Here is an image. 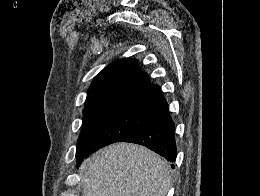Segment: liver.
Returning a JSON list of instances; mask_svg holds the SVG:
<instances>
[{
  "label": "liver",
  "instance_id": "1",
  "mask_svg": "<svg viewBox=\"0 0 260 196\" xmlns=\"http://www.w3.org/2000/svg\"><path fill=\"white\" fill-rule=\"evenodd\" d=\"M170 166L138 144H111L81 166L83 196H167Z\"/></svg>",
  "mask_w": 260,
  "mask_h": 196
}]
</instances>
